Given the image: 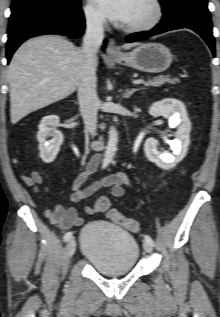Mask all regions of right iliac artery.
I'll use <instances>...</instances> for the list:
<instances>
[{
	"label": "right iliac artery",
	"mask_w": 220,
	"mask_h": 317,
	"mask_svg": "<svg viewBox=\"0 0 220 317\" xmlns=\"http://www.w3.org/2000/svg\"><path fill=\"white\" fill-rule=\"evenodd\" d=\"M72 238V232H67L65 235H64V241H68Z\"/></svg>",
	"instance_id": "right-iliac-artery-1"
}]
</instances>
